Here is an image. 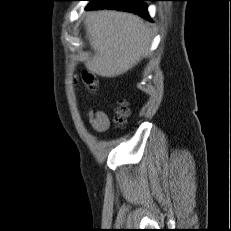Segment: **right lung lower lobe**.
Wrapping results in <instances>:
<instances>
[{"label": "right lung lower lobe", "instance_id": "right-lung-lower-lobe-1", "mask_svg": "<svg viewBox=\"0 0 231 231\" xmlns=\"http://www.w3.org/2000/svg\"><path fill=\"white\" fill-rule=\"evenodd\" d=\"M90 1L86 9H117L136 13L144 18L149 19L147 7L141 1L149 0H86Z\"/></svg>", "mask_w": 231, "mask_h": 231}]
</instances>
